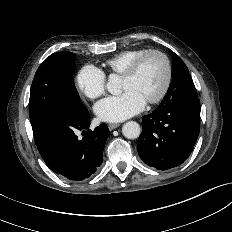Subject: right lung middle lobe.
I'll return each mask as SVG.
<instances>
[{
  "label": "right lung middle lobe",
  "instance_id": "1",
  "mask_svg": "<svg viewBox=\"0 0 232 232\" xmlns=\"http://www.w3.org/2000/svg\"><path fill=\"white\" fill-rule=\"evenodd\" d=\"M75 55L63 51L50 55L34 76L29 99V116L35 143L60 113H81L86 108L74 84Z\"/></svg>",
  "mask_w": 232,
  "mask_h": 232
}]
</instances>
